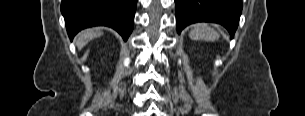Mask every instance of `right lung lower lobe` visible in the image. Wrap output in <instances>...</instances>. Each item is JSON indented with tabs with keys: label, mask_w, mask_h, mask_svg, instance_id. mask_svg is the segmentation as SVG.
Listing matches in <instances>:
<instances>
[{
	"label": "right lung lower lobe",
	"mask_w": 305,
	"mask_h": 116,
	"mask_svg": "<svg viewBox=\"0 0 305 116\" xmlns=\"http://www.w3.org/2000/svg\"><path fill=\"white\" fill-rule=\"evenodd\" d=\"M137 0H62L61 12L68 35L82 29L108 26L126 41L133 30Z\"/></svg>",
	"instance_id": "right-lung-lower-lobe-1"
}]
</instances>
